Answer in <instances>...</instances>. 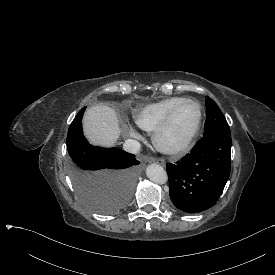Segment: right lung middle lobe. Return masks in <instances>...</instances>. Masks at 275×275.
Segmentation results:
<instances>
[{
	"instance_id": "dd1d6c3e",
	"label": "right lung middle lobe",
	"mask_w": 275,
	"mask_h": 275,
	"mask_svg": "<svg viewBox=\"0 0 275 275\" xmlns=\"http://www.w3.org/2000/svg\"><path fill=\"white\" fill-rule=\"evenodd\" d=\"M85 108L76 115L67 134L69 174L83 204L100 214H115L131 200L141 174L140 162L119 148L89 144L81 124Z\"/></svg>"
}]
</instances>
